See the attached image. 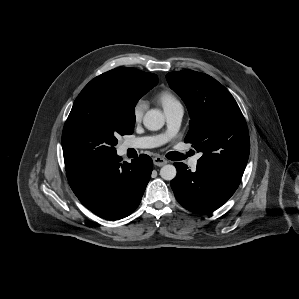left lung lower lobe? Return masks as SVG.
Returning a JSON list of instances; mask_svg holds the SVG:
<instances>
[{"label": "left lung lower lobe", "instance_id": "obj_1", "mask_svg": "<svg viewBox=\"0 0 299 299\" xmlns=\"http://www.w3.org/2000/svg\"><path fill=\"white\" fill-rule=\"evenodd\" d=\"M171 187L177 201L187 210L206 214L222 206L238 188L241 178L197 164L196 171L184 163L174 164Z\"/></svg>", "mask_w": 299, "mask_h": 299}]
</instances>
